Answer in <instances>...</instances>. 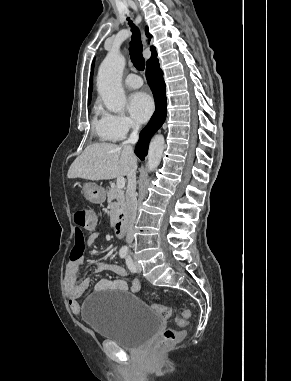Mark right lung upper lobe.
I'll return each instance as SVG.
<instances>
[{"instance_id": "cb5924a9", "label": "right lung upper lobe", "mask_w": 291, "mask_h": 381, "mask_svg": "<svg viewBox=\"0 0 291 381\" xmlns=\"http://www.w3.org/2000/svg\"><path fill=\"white\" fill-rule=\"evenodd\" d=\"M146 36L149 38L148 42H150V39L152 36L148 32V29H146ZM151 51H152V56H151V59L147 62V64L150 62H153L157 59V53H156L155 47H152ZM92 74H93V67H92V71H91V78H90V85H89V102H90L91 92H92Z\"/></svg>"}]
</instances>
